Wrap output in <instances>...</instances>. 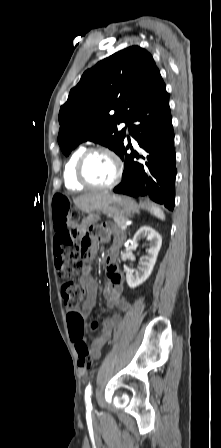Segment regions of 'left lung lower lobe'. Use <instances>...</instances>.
Wrapping results in <instances>:
<instances>
[{
  "label": "left lung lower lobe",
  "mask_w": 221,
  "mask_h": 448,
  "mask_svg": "<svg viewBox=\"0 0 221 448\" xmlns=\"http://www.w3.org/2000/svg\"><path fill=\"white\" fill-rule=\"evenodd\" d=\"M129 133L149 153L145 163L149 175L142 164L133 160L138 155L133 152L128 137V144L119 153L124 161L123 179L114 192L132 197L149 193L153 201L173 210L176 178L174 132L169 94L165 88L144 104L130 123ZM129 148L131 154H127ZM145 183L147 186L143 188Z\"/></svg>",
  "instance_id": "0a47b994"
}]
</instances>
